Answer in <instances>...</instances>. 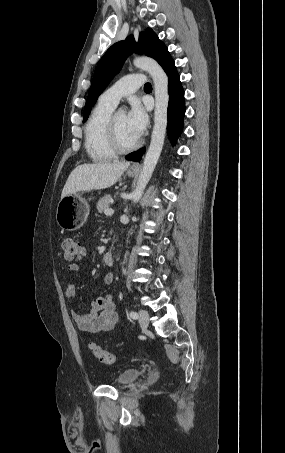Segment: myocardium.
I'll return each instance as SVG.
<instances>
[{
	"instance_id": "f54148a6",
	"label": "myocardium",
	"mask_w": 285,
	"mask_h": 453,
	"mask_svg": "<svg viewBox=\"0 0 285 453\" xmlns=\"http://www.w3.org/2000/svg\"><path fill=\"white\" fill-rule=\"evenodd\" d=\"M118 112L112 113L107 124V138L111 149L115 154H126L136 150L141 145V140L138 139L135 143L129 146H125L121 143L117 125H116V115Z\"/></svg>"
}]
</instances>
